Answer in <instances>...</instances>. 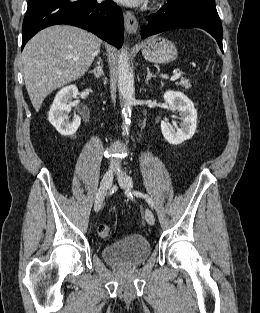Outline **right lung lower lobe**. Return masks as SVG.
<instances>
[{
  "instance_id": "1",
  "label": "right lung lower lobe",
  "mask_w": 260,
  "mask_h": 313,
  "mask_svg": "<svg viewBox=\"0 0 260 313\" xmlns=\"http://www.w3.org/2000/svg\"><path fill=\"white\" fill-rule=\"evenodd\" d=\"M56 24L86 29L117 48L123 43L122 11L111 0H28L22 49L38 31Z\"/></svg>"
}]
</instances>
